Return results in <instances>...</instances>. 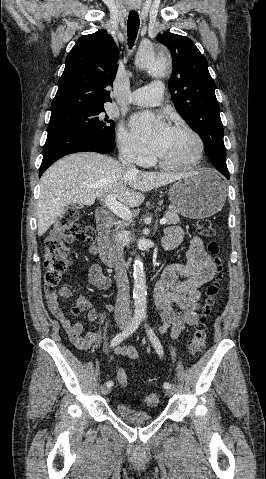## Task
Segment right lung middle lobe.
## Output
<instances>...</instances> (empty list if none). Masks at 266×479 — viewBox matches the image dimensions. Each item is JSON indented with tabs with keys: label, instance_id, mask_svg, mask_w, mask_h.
<instances>
[{
	"label": "right lung middle lobe",
	"instance_id": "1",
	"mask_svg": "<svg viewBox=\"0 0 266 479\" xmlns=\"http://www.w3.org/2000/svg\"><path fill=\"white\" fill-rule=\"evenodd\" d=\"M101 108H74L52 112L50 127H62L114 139L113 121L104 115Z\"/></svg>",
	"mask_w": 266,
	"mask_h": 479
}]
</instances>
